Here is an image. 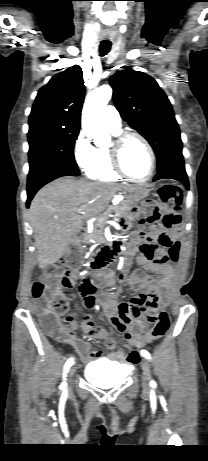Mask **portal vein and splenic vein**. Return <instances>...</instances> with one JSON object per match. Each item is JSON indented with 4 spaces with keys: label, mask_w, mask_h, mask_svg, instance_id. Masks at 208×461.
<instances>
[{
    "label": "portal vein and splenic vein",
    "mask_w": 208,
    "mask_h": 461,
    "mask_svg": "<svg viewBox=\"0 0 208 461\" xmlns=\"http://www.w3.org/2000/svg\"><path fill=\"white\" fill-rule=\"evenodd\" d=\"M115 216H119V213H116Z\"/></svg>",
    "instance_id": "obj_1"
}]
</instances>
